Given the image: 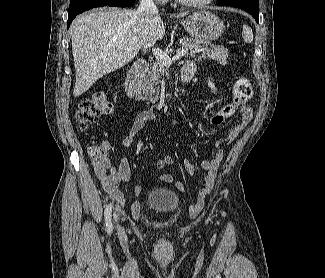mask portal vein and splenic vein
<instances>
[{"label":"portal vein and splenic vein","instance_id":"18ae733b","mask_svg":"<svg viewBox=\"0 0 325 278\" xmlns=\"http://www.w3.org/2000/svg\"><path fill=\"white\" fill-rule=\"evenodd\" d=\"M206 49H208V48L197 49V50H195V53L202 52L203 50H206ZM152 51H153V55L155 56L157 61L167 67H169L172 64V61L182 58L186 53L185 50H181V51L177 52V54L175 56L170 58L166 52L162 51L159 48H153Z\"/></svg>","mask_w":325,"mask_h":278}]
</instances>
